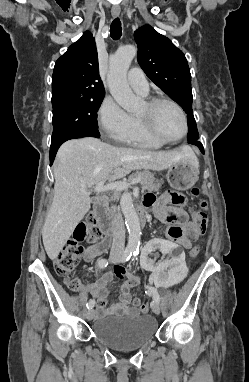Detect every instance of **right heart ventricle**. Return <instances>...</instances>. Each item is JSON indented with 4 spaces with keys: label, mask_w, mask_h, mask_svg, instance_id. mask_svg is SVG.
Wrapping results in <instances>:
<instances>
[{
    "label": "right heart ventricle",
    "mask_w": 249,
    "mask_h": 382,
    "mask_svg": "<svg viewBox=\"0 0 249 382\" xmlns=\"http://www.w3.org/2000/svg\"><path fill=\"white\" fill-rule=\"evenodd\" d=\"M133 122V128L131 133L128 137L123 139L121 142L142 147V148H148V149H157L162 147L164 144L159 143L152 139L150 136H148L145 131L143 130V127L138 119V117L133 116L132 117Z\"/></svg>",
    "instance_id": "right-heart-ventricle-1"
}]
</instances>
